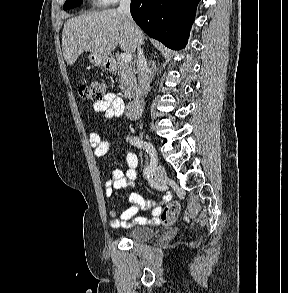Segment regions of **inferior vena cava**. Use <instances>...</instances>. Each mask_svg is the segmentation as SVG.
Instances as JSON below:
<instances>
[{"label":"inferior vena cava","instance_id":"inferior-vena-cava-1","mask_svg":"<svg viewBox=\"0 0 288 293\" xmlns=\"http://www.w3.org/2000/svg\"><path fill=\"white\" fill-rule=\"evenodd\" d=\"M130 0H120V4L118 7V12L122 13L126 18L129 23L130 29L135 35L136 43H137V75H138V83L140 86V90L142 95H147L148 92L150 91V83H149V78L146 73L147 69V62L144 57L141 45H142V33L138 26L135 24L133 21L131 14H130Z\"/></svg>","mask_w":288,"mask_h":293}]
</instances>
